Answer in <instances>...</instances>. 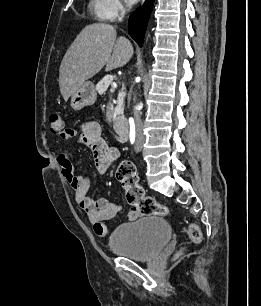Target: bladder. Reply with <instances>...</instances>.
<instances>
[{
  "label": "bladder",
  "mask_w": 261,
  "mask_h": 306,
  "mask_svg": "<svg viewBox=\"0 0 261 306\" xmlns=\"http://www.w3.org/2000/svg\"><path fill=\"white\" fill-rule=\"evenodd\" d=\"M170 237L168 222L160 216L148 215L119 226L109 236L108 245L116 255L147 261L161 251Z\"/></svg>",
  "instance_id": "obj_1"
}]
</instances>
